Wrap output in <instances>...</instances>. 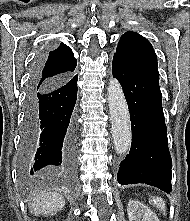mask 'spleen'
Returning <instances> with one entry per match:
<instances>
[{
    "label": "spleen",
    "mask_w": 190,
    "mask_h": 221,
    "mask_svg": "<svg viewBox=\"0 0 190 221\" xmlns=\"http://www.w3.org/2000/svg\"><path fill=\"white\" fill-rule=\"evenodd\" d=\"M152 202L154 205H156L157 208H159L161 211L166 212V206H165V202L162 200L161 197H153L152 198Z\"/></svg>",
    "instance_id": "obj_1"
}]
</instances>
